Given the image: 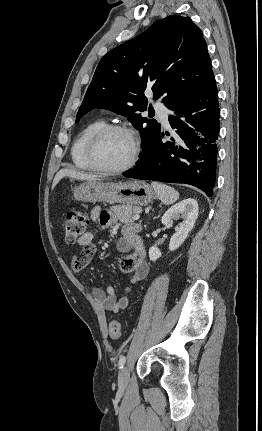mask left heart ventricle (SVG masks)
<instances>
[{
  "mask_svg": "<svg viewBox=\"0 0 262 431\" xmlns=\"http://www.w3.org/2000/svg\"><path fill=\"white\" fill-rule=\"evenodd\" d=\"M132 152V139L123 132H112L100 141L97 156L103 165L117 168L130 159Z\"/></svg>",
  "mask_w": 262,
  "mask_h": 431,
  "instance_id": "obj_1",
  "label": "left heart ventricle"
}]
</instances>
